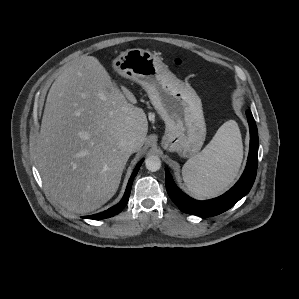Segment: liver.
I'll list each match as a JSON object with an SVG mask.
<instances>
[{"label":"liver","instance_id":"1","mask_svg":"<svg viewBox=\"0 0 299 299\" xmlns=\"http://www.w3.org/2000/svg\"><path fill=\"white\" fill-rule=\"evenodd\" d=\"M93 56H81L52 84L36 144V164L45 188L66 209L88 213L116 193L130 154L139 151L147 116L134 106Z\"/></svg>","mask_w":299,"mask_h":299}]
</instances>
